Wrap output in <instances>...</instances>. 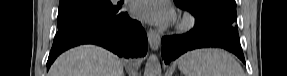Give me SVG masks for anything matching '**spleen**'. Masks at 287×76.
I'll list each match as a JSON object with an SVG mask.
<instances>
[{"mask_svg": "<svg viewBox=\"0 0 287 76\" xmlns=\"http://www.w3.org/2000/svg\"><path fill=\"white\" fill-rule=\"evenodd\" d=\"M178 67L185 76H244L240 64L222 49H197L184 54Z\"/></svg>", "mask_w": 287, "mask_h": 76, "instance_id": "3e777b00", "label": "spleen"}]
</instances>
